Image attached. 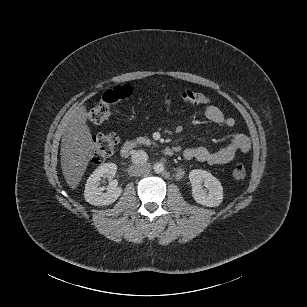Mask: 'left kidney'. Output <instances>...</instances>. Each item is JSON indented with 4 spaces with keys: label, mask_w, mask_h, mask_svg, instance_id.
<instances>
[{
    "label": "left kidney",
    "mask_w": 307,
    "mask_h": 307,
    "mask_svg": "<svg viewBox=\"0 0 307 307\" xmlns=\"http://www.w3.org/2000/svg\"><path fill=\"white\" fill-rule=\"evenodd\" d=\"M191 193L194 201L207 208H214L223 202V186L206 170L194 169L189 172ZM208 189V193L201 184Z\"/></svg>",
    "instance_id": "5707ae66"
}]
</instances>
